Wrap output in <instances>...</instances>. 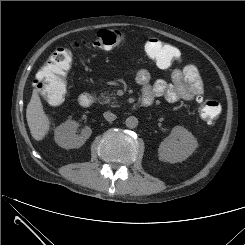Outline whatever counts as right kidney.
Returning a JSON list of instances; mask_svg holds the SVG:
<instances>
[{
  "mask_svg": "<svg viewBox=\"0 0 245 245\" xmlns=\"http://www.w3.org/2000/svg\"><path fill=\"white\" fill-rule=\"evenodd\" d=\"M79 123L73 120H67L55 129V142L64 149L80 148L91 136L92 130L85 126L81 133L76 134Z\"/></svg>",
  "mask_w": 245,
  "mask_h": 245,
  "instance_id": "1",
  "label": "right kidney"
}]
</instances>
